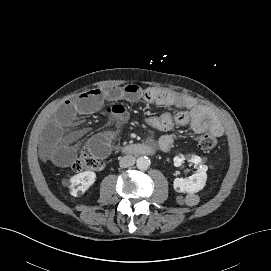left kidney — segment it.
Returning a JSON list of instances; mask_svg holds the SVG:
<instances>
[{
	"label": "left kidney",
	"mask_w": 271,
	"mask_h": 271,
	"mask_svg": "<svg viewBox=\"0 0 271 271\" xmlns=\"http://www.w3.org/2000/svg\"><path fill=\"white\" fill-rule=\"evenodd\" d=\"M185 160V156L180 154L174 157V165L180 166ZM189 160L195 165H199V169L196 173L192 174L188 178H176L173 182L175 191L179 193H195L203 189L207 180V166L202 165L201 157L197 155H191Z\"/></svg>",
	"instance_id": "1"
}]
</instances>
